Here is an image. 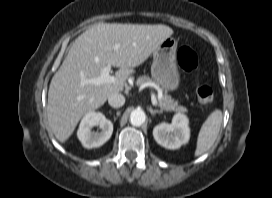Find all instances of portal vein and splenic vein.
<instances>
[{
	"label": "portal vein and splenic vein",
	"mask_w": 272,
	"mask_h": 198,
	"mask_svg": "<svg viewBox=\"0 0 272 198\" xmlns=\"http://www.w3.org/2000/svg\"><path fill=\"white\" fill-rule=\"evenodd\" d=\"M120 47V44H115L113 48L115 50H118ZM111 71V65H107L104 67L101 71L100 76L92 79H83L82 84H94V85H101V84H115L117 82V79L114 76L110 75ZM151 101L154 106H157V99L154 94L151 96Z\"/></svg>",
	"instance_id": "obj_1"
}]
</instances>
